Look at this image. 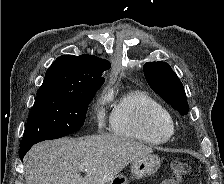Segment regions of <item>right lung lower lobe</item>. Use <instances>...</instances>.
Listing matches in <instances>:
<instances>
[{
    "label": "right lung lower lobe",
    "instance_id": "1",
    "mask_svg": "<svg viewBox=\"0 0 224 184\" xmlns=\"http://www.w3.org/2000/svg\"><path fill=\"white\" fill-rule=\"evenodd\" d=\"M30 148H31V146L20 147L19 157L21 160H23L24 155L27 153V151H29Z\"/></svg>",
    "mask_w": 224,
    "mask_h": 184
}]
</instances>
